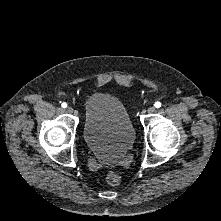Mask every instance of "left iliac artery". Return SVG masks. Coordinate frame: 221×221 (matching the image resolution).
<instances>
[{
	"mask_svg": "<svg viewBox=\"0 0 221 221\" xmlns=\"http://www.w3.org/2000/svg\"><path fill=\"white\" fill-rule=\"evenodd\" d=\"M155 107H156V108L161 107V103L157 101V102L155 103Z\"/></svg>",
	"mask_w": 221,
	"mask_h": 221,
	"instance_id": "44dca946",
	"label": "left iliac artery"
}]
</instances>
